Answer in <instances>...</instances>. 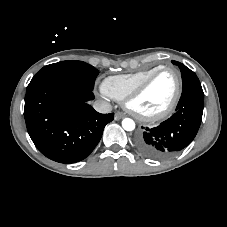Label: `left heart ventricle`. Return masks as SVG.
<instances>
[{"label": "left heart ventricle", "instance_id": "b2bd125f", "mask_svg": "<svg viewBox=\"0 0 227 227\" xmlns=\"http://www.w3.org/2000/svg\"><path fill=\"white\" fill-rule=\"evenodd\" d=\"M176 88V74L173 71H165L153 80L132 106L142 114L158 113L169 105Z\"/></svg>", "mask_w": 227, "mask_h": 227}]
</instances>
